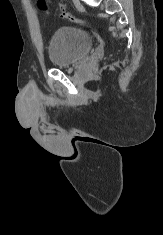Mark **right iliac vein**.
Instances as JSON below:
<instances>
[{"label":"right iliac vein","instance_id":"63e3f726","mask_svg":"<svg viewBox=\"0 0 163 235\" xmlns=\"http://www.w3.org/2000/svg\"><path fill=\"white\" fill-rule=\"evenodd\" d=\"M76 3H78L79 2V0H74Z\"/></svg>","mask_w":163,"mask_h":235}]
</instances>
